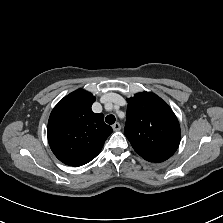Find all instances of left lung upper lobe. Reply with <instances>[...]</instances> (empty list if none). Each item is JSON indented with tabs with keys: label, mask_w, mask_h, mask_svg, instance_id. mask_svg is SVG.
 <instances>
[{
	"label": "left lung upper lobe",
	"mask_w": 223,
	"mask_h": 223,
	"mask_svg": "<svg viewBox=\"0 0 223 223\" xmlns=\"http://www.w3.org/2000/svg\"><path fill=\"white\" fill-rule=\"evenodd\" d=\"M127 102L124 133L134 150L150 162L170 158L181 139L179 122L171 108L151 92L137 93Z\"/></svg>",
	"instance_id": "obj_1"
}]
</instances>
